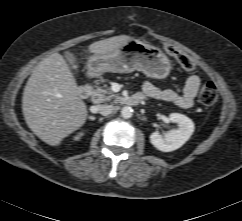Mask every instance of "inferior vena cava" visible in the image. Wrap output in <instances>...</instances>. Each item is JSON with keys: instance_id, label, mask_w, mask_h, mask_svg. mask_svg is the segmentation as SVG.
Instances as JSON below:
<instances>
[{"instance_id": "inferior-vena-cava-1", "label": "inferior vena cava", "mask_w": 242, "mask_h": 221, "mask_svg": "<svg viewBox=\"0 0 242 221\" xmlns=\"http://www.w3.org/2000/svg\"><path fill=\"white\" fill-rule=\"evenodd\" d=\"M114 110L115 108L112 105H107V104L98 105V112L103 116H107L111 114Z\"/></svg>"}]
</instances>
